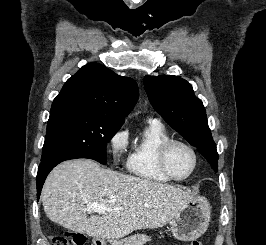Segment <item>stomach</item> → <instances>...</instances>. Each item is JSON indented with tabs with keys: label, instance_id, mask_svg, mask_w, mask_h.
Returning a JSON list of instances; mask_svg holds the SVG:
<instances>
[{
	"label": "stomach",
	"instance_id": "obj_1",
	"mask_svg": "<svg viewBox=\"0 0 266 245\" xmlns=\"http://www.w3.org/2000/svg\"><path fill=\"white\" fill-rule=\"evenodd\" d=\"M211 209L205 197L192 199L170 221L171 233L178 241H193L204 235L210 223ZM115 245V243H114Z\"/></svg>",
	"mask_w": 266,
	"mask_h": 245
}]
</instances>
